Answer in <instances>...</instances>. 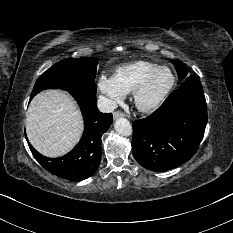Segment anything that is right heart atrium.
Instances as JSON below:
<instances>
[{"label":"right heart atrium","instance_id":"obj_1","mask_svg":"<svg viewBox=\"0 0 233 233\" xmlns=\"http://www.w3.org/2000/svg\"><path fill=\"white\" fill-rule=\"evenodd\" d=\"M96 85L105 105L109 108L122 102L126 96V93L121 89L113 76L104 73L100 74Z\"/></svg>","mask_w":233,"mask_h":233}]
</instances>
